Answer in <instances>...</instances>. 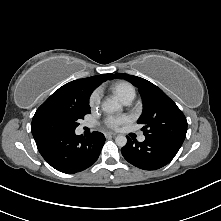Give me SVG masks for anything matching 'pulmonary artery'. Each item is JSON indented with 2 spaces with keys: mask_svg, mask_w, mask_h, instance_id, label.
<instances>
[{
  "mask_svg": "<svg viewBox=\"0 0 221 221\" xmlns=\"http://www.w3.org/2000/svg\"><path fill=\"white\" fill-rule=\"evenodd\" d=\"M132 102V100H126L125 102H123L125 105H129L130 103ZM145 140V136L144 135H141L139 137V141L140 142H143Z\"/></svg>",
  "mask_w": 221,
  "mask_h": 221,
  "instance_id": "e3ab8cb5",
  "label": "pulmonary artery"
}]
</instances>
